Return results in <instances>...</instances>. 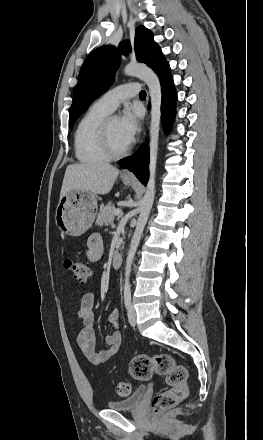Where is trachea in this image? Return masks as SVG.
<instances>
[{"label": "trachea", "mask_w": 263, "mask_h": 440, "mask_svg": "<svg viewBox=\"0 0 263 440\" xmlns=\"http://www.w3.org/2000/svg\"><path fill=\"white\" fill-rule=\"evenodd\" d=\"M139 97H146V92H145L144 90H142V91L139 93Z\"/></svg>", "instance_id": "obj_1"}]
</instances>
